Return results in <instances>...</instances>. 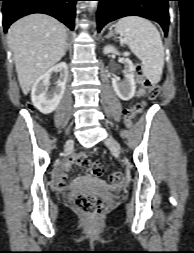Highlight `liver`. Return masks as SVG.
Returning a JSON list of instances; mask_svg holds the SVG:
<instances>
[{
	"label": "liver",
	"mask_w": 194,
	"mask_h": 253,
	"mask_svg": "<svg viewBox=\"0 0 194 253\" xmlns=\"http://www.w3.org/2000/svg\"><path fill=\"white\" fill-rule=\"evenodd\" d=\"M18 81L27 95L36 80L65 53L66 27L45 14H31L12 24L7 34Z\"/></svg>",
	"instance_id": "obj_1"
}]
</instances>
